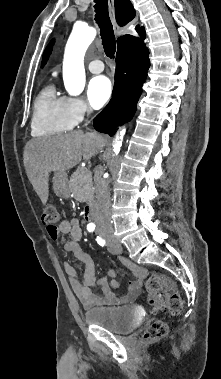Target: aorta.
I'll use <instances>...</instances> for the list:
<instances>
[{"mask_svg":"<svg viewBox=\"0 0 221 379\" xmlns=\"http://www.w3.org/2000/svg\"><path fill=\"white\" fill-rule=\"evenodd\" d=\"M96 36V30L88 26H74L67 41L63 60V80L67 92L76 96L85 87L84 56ZM125 129H120L113 142V152L117 155L122 146Z\"/></svg>","mask_w":221,"mask_h":379,"instance_id":"762f6f07","label":"aorta"}]
</instances>
